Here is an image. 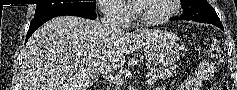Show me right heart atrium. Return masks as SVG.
<instances>
[{"instance_id":"d8ad5b80","label":"right heart atrium","mask_w":237,"mask_h":90,"mask_svg":"<svg viewBox=\"0 0 237 90\" xmlns=\"http://www.w3.org/2000/svg\"><path fill=\"white\" fill-rule=\"evenodd\" d=\"M97 6H102L101 11L111 20H129L128 10L120 5V0H98Z\"/></svg>"}]
</instances>
